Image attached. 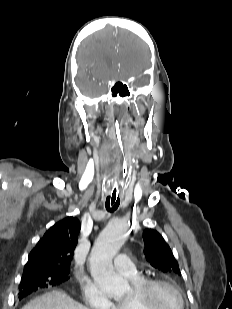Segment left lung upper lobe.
Masks as SVG:
<instances>
[{
	"label": "left lung upper lobe",
	"instance_id": "5c2ea615",
	"mask_svg": "<svg viewBox=\"0 0 232 309\" xmlns=\"http://www.w3.org/2000/svg\"><path fill=\"white\" fill-rule=\"evenodd\" d=\"M143 240L145 244L144 254L154 268L181 275L178 262L174 258L169 245L157 231L153 229L145 230Z\"/></svg>",
	"mask_w": 232,
	"mask_h": 309
}]
</instances>
